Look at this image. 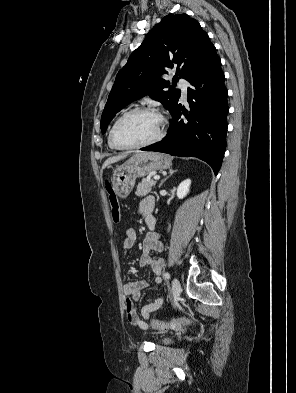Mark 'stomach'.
<instances>
[{
  "instance_id": "stomach-1",
  "label": "stomach",
  "mask_w": 296,
  "mask_h": 393,
  "mask_svg": "<svg viewBox=\"0 0 296 393\" xmlns=\"http://www.w3.org/2000/svg\"><path fill=\"white\" fill-rule=\"evenodd\" d=\"M171 165V158L166 154L156 152L136 153L113 171V191L118 197L125 198L134 188L136 178L145 177L153 171L168 169Z\"/></svg>"
}]
</instances>
